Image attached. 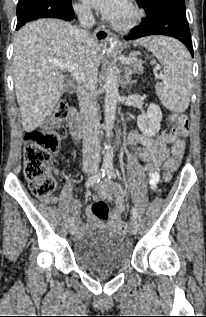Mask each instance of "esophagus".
<instances>
[{
  "label": "esophagus",
  "instance_id": "esophagus-1",
  "mask_svg": "<svg viewBox=\"0 0 206 317\" xmlns=\"http://www.w3.org/2000/svg\"><path fill=\"white\" fill-rule=\"evenodd\" d=\"M95 36L102 42L117 41V37L104 26H101L100 28L96 29Z\"/></svg>",
  "mask_w": 206,
  "mask_h": 317
}]
</instances>
